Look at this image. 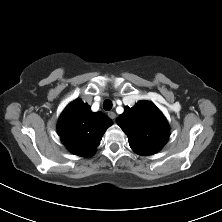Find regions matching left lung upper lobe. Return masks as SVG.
Segmentation results:
<instances>
[{"label": "left lung upper lobe", "instance_id": "left-lung-upper-lobe-1", "mask_svg": "<svg viewBox=\"0 0 222 222\" xmlns=\"http://www.w3.org/2000/svg\"><path fill=\"white\" fill-rule=\"evenodd\" d=\"M116 122L128 136L132 150L139 155L155 154L168 141L169 125L160 110L149 101L126 107Z\"/></svg>", "mask_w": 222, "mask_h": 222}]
</instances>
